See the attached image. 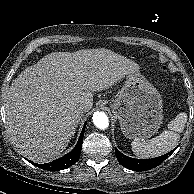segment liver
Returning <instances> with one entry per match:
<instances>
[{"instance_id": "6515ba94", "label": "liver", "mask_w": 194, "mask_h": 194, "mask_svg": "<svg viewBox=\"0 0 194 194\" xmlns=\"http://www.w3.org/2000/svg\"><path fill=\"white\" fill-rule=\"evenodd\" d=\"M138 65L107 49L56 52L26 68L6 96V126L14 146L28 159L46 163L67 147L92 92L112 87Z\"/></svg>"}]
</instances>
